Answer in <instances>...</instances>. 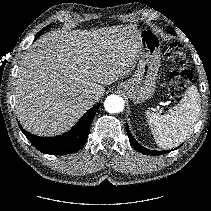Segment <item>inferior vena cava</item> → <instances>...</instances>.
<instances>
[{"mask_svg": "<svg viewBox=\"0 0 211 211\" xmlns=\"http://www.w3.org/2000/svg\"><path fill=\"white\" fill-rule=\"evenodd\" d=\"M85 101L88 104L92 105V104H94V103H96L98 101V97L96 95H94V94H87L85 96Z\"/></svg>", "mask_w": 211, "mask_h": 211, "instance_id": "obj_1", "label": "inferior vena cava"}]
</instances>
